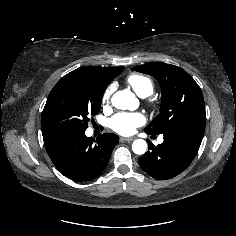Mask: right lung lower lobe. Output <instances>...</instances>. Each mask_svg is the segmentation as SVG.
I'll return each mask as SVG.
<instances>
[{"mask_svg": "<svg viewBox=\"0 0 236 236\" xmlns=\"http://www.w3.org/2000/svg\"><path fill=\"white\" fill-rule=\"evenodd\" d=\"M95 141V140H93ZM85 132L72 133L45 145L56 168L76 182L90 181L105 169L112 150L119 141L113 133L101 134L96 143Z\"/></svg>", "mask_w": 236, "mask_h": 236, "instance_id": "98d812e1", "label": "right lung lower lobe"}]
</instances>
